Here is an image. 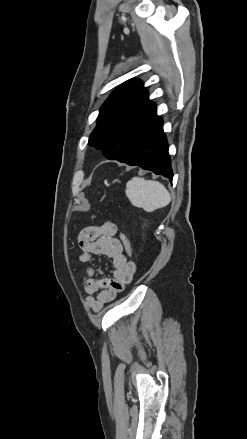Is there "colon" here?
<instances>
[{"mask_svg": "<svg viewBox=\"0 0 247 439\" xmlns=\"http://www.w3.org/2000/svg\"><path fill=\"white\" fill-rule=\"evenodd\" d=\"M120 240L123 244V247L125 249L126 254L128 256H130L132 250H131V244H130V241L128 239V236L125 233H120Z\"/></svg>", "mask_w": 247, "mask_h": 439, "instance_id": "obj_1", "label": "colon"}]
</instances>
